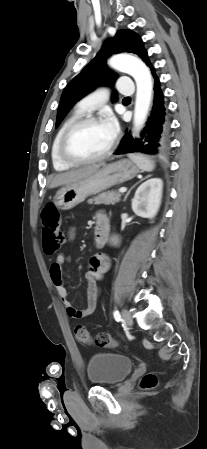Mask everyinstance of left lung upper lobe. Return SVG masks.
Listing matches in <instances>:
<instances>
[{
  "instance_id": "5c2ea615",
  "label": "left lung upper lobe",
  "mask_w": 207,
  "mask_h": 449,
  "mask_svg": "<svg viewBox=\"0 0 207 449\" xmlns=\"http://www.w3.org/2000/svg\"><path fill=\"white\" fill-rule=\"evenodd\" d=\"M121 52L137 54L146 65L150 64L141 38L128 29L117 31L115 38L107 40L97 56L65 87L58 108L56 127L78 100L98 85H111L115 82L116 76L109 72L105 60L111 53ZM112 99L117 100L115 92Z\"/></svg>"
}]
</instances>
